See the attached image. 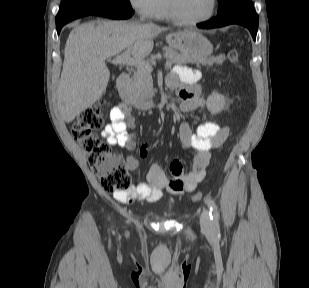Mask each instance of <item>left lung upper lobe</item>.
I'll return each instance as SVG.
<instances>
[{
	"label": "left lung upper lobe",
	"mask_w": 309,
	"mask_h": 288,
	"mask_svg": "<svg viewBox=\"0 0 309 288\" xmlns=\"http://www.w3.org/2000/svg\"><path fill=\"white\" fill-rule=\"evenodd\" d=\"M219 10L218 15L225 14L238 6L252 3L251 0H218Z\"/></svg>",
	"instance_id": "left-lung-upper-lobe-1"
}]
</instances>
